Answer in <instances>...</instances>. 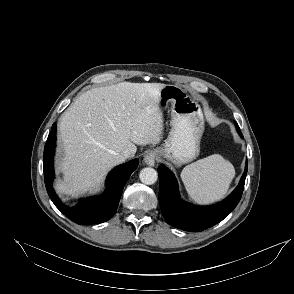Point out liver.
Returning a JSON list of instances; mask_svg holds the SVG:
<instances>
[{"mask_svg": "<svg viewBox=\"0 0 294 294\" xmlns=\"http://www.w3.org/2000/svg\"><path fill=\"white\" fill-rule=\"evenodd\" d=\"M162 83L121 82L93 88L64 112L59 132L65 156L59 164L64 180L58 193L78 196L97 188L107 172L123 163L121 153L136 145H156L163 133L158 106Z\"/></svg>", "mask_w": 294, "mask_h": 294, "instance_id": "6515ba94", "label": "liver"}]
</instances>
